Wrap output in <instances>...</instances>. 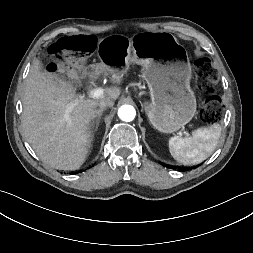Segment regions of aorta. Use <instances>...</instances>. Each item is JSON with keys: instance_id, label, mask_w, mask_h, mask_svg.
Segmentation results:
<instances>
[{"instance_id": "obj_1", "label": "aorta", "mask_w": 253, "mask_h": 253, "mask_svg": "<svg viewBox=\"0 0 253 253\" xmlns=\"http://www.w3.org/2000/svg\"><path fill=\"white\" fill-rule=\"evenodd\" d=\"M136 115L135 108L131 105H123L118 110V116L122 121L130 122Z\"/></svg>"}]
</instances>
